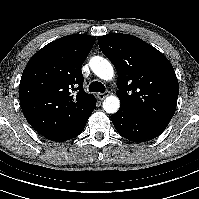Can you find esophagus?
<instances>
[{"mask_svg": "<svg viewBox=\"0 0 199 199\" xmlns=\"http://www.w3.org/2000/svg\"><path fill=\"white\" fill-rule=\"evenodd\" d=\"M110 94L109 91H106L105 93H97V98L100 100H103L105 97H107Z\"/></svg>", "mask_w": 199, "mask_h": 199, "instance_id": "34e87169", "label": "esophagus"}]
</instances>
